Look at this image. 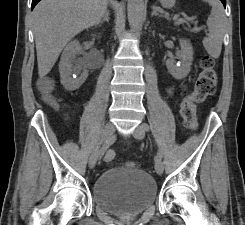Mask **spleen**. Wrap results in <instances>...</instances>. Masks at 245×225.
<instances>
[{
	"mask_svg": "<svg viewBox=\"0 0 245 225\" xmlns=\"http://www.w3.org/2000/svg\"><path fill=\"white\" fill-rule=\"evenodd\" d=\"M212 6L211 13L207 20L209 29L208 37L203 39V45L207 53L213 57L218 58L221 53L223 36L225 33L226 17L224 8L219 0H203Z\"/></svg>",
	"mask_w": 245,
	"mask_h": 225,
	"instance_id": "3e777b00",
	"label": "spleen"
}]
</instances>
